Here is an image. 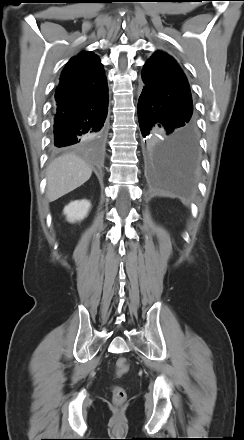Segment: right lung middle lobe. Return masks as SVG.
I'll return each mask as SVG.
<instances>
[{"label": "right lung middle lobe", "mask_w": 244, "mask_h": 440, "mask_svg": "<svg viewBox=\"0 0 244 440\" xmlns=\"http://www.w3.org/2000/svg\"><path fill=\"white\" fill-rule=\"evenodd\" d=\"M101 138L100 137H96V138H93V139H91L90 141H88V142H94V141H99Z\"/></svg>", "instance_id": "1"}]
</instances>
